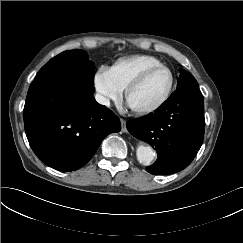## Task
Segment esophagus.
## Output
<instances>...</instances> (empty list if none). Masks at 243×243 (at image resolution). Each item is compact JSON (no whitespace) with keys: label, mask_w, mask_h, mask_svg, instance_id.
<instances>
[{"label":"esophagus","mask_w":243,"mask_h":243,"mask_svg":"<svg viewBox=\"0 0 243 243\" xmlns=\"http://www.w3.org/2000/svg\"><path fill=\"white\" fill-rule=\"evenodd\" d=\"M120 122H121L122 132L126 133L127 132L126 121L124 119H121Z\"/></svg>","instance_id":"obj_1"}]
</instances>
